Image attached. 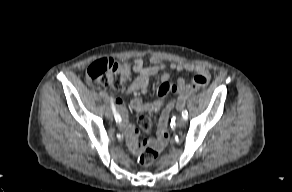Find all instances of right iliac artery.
<instances>
[{"label": "right iliac artery", "instance_id": "82829eb1", "mask_svg": "<svg viewBox=\"0 0 292 192\" xmlns=\"http://www.w3.org/2000/svg\"><path fill=\"white\" fill-rule=\"evenodd\" d=\"M111 109L113 111L115 120L116 121H120L121 120V117H120L119 113L116 111L113 98H111Z\"/></svg>", "mask_w": 292, "mask_h": 192}]
</instances>
